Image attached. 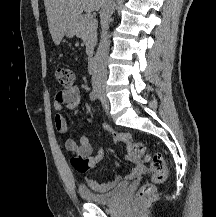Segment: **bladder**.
<instances>
[{
  "label": "bladder",
  "instance_id": "bladder-1",
  "mask_svg": "<svg viewBox=\"0 0 216 217\" xmlns=\"http://www.w3.org/2000/svg\"><path fill=\"white\" fill-rule=\"evenodd\" d=\"M125 189L126 187L122 186L107 193H95L90 190L81 189L80 194L86 202L99 205H109L116 202L121 197Z\"/></svg>",
  "mask_w": 216,
  "mask_h": 217
}]
</instances>
